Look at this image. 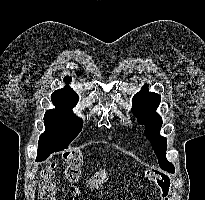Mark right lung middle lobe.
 Segmentation results:
<instances>
[{
  "mask_svg": "<svg viewBox=\"0 0 205 200\" xmlns=\"http://www.w3.org/2000/svg\"><path fill=\"white\" fill-rule=\"evenodd\" d=\"M55 109L47 110L44 115L45 132L40 136V143H53L58 151L68 145L81 132L83 121L72 112L79 96L72 90L59 89L51 95Z\"/></svg>",
  "mask_w": 205,
  "mask_h": 200,
  "instance_id": "right-lung-middle-lobe-1",
  "label": "right lung middle lobe"
}]
</instances>
